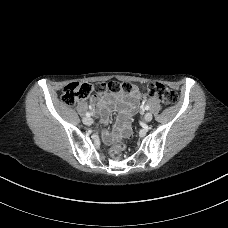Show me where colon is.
Wrapping results in <instances>:
<instances>
[{
    "instance_id": "obj_1",
    "label": "colon",
    "mask_w": 228,
    "mask_h": 228,
    "mask_svg": "<svg viewBox=\"0 0 228 228\" xmlns=\"http://www.w3.org/2000/svg\"><path fill=\"white\" fill-rule=\"evenodd\" d=\"M134 86L131 83H99L90 85L88 83L73 82L66 85L62 91L61 99L64 104L71 106L78 100L84 99L90 95L92 91L103 94L110 92L112 94L129 95L133 92ZM146 94L151 97L158 98L164 105H171L177 101V94L165 85L154 82L149 83L145 88ZM125 145L119 141L114 144L110 150L113 159H120L125 151Z\"/></svg>"
}]
</instances>
